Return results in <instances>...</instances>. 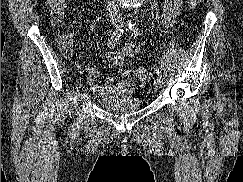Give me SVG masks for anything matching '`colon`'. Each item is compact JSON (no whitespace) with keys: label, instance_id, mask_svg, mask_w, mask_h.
Segmentation results:
<instances>
[{"label":"colon","instance_id":"colon-1","mask_svg":"<svg viewBox=\"0 0 243 182\" xmlns=\"http://www.w3.org/2000/svg\"><path fill=\"white\" fill-rule=\"evenodd\" d=\"M186 3L190 9H195L200 3V0H186ZM47 5L54 25L60 26L65 11V0H47ZM58 41L63 55L69 56L72 53V43L69 36L61 34L58 36ZM134 74L142 82L147 81L149 78V73L144 67L136 68Z\"/></svg>","mask_w":243,"mask_h":182}]
</instances>
